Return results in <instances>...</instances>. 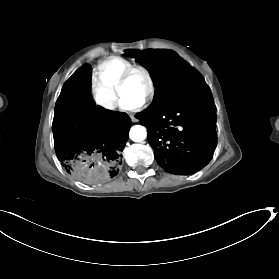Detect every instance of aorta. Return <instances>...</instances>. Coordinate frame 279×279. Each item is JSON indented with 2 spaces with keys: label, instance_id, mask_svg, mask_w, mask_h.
Listing matches in <instances>:
<instances>
[{
  "label": "aorta",
  "instance_id": "762f6f07",
  "mask_svg": "<svg viewBox=\"0 0 279 279\" xmlns=\"http://www.w3.org/2000/svg\"><path fill=\"white\" fill-rule=\"evenodd\" d=\"M129 137L134 142H141L147 137L146 128L142 125L132 126L129 131Z\"/></svg>",
  "mask_w": 279,
  "mask_h": 279
}]
</instances>
